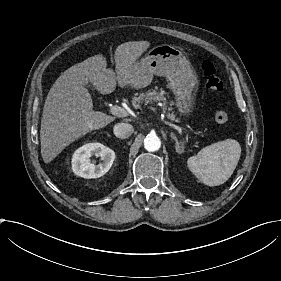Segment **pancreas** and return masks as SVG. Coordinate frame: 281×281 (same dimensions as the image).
<instances>
[{
  "label": "pancreas",
  "instance_id": "pancreas-1",
  "mask_svg": "<svg viewBox=\"0 0 281 281\" xmlns=\"http://www.w3.org/2000/svg\"><path fill=\"white\" fill-rule=\"evenodd\" d=\"M166 93L163 90L157 91V87L155 89H150L147 90L146 92H141V93H135V96L132 98V105L135 109H140L141 104L144 103L145 105L147 104H153V103H158L162 102V109L163 111H171L172 108L169 107L167 108L168 101L166 97L164 96ZM174 102L171 101L170 105H173ZM168 119L170 120H175V115L173 113H168L167 114Z\"/></svg>",
  "mask_w": 281,
  "mask_h": 281
}]
</instances>
